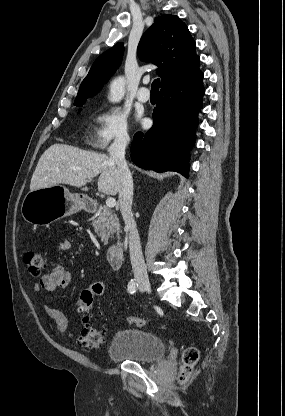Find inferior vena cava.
Instances as JSON below:
<instances>
[{"mask_svg":"<svg viewBox=\"0 0 285 416\" xmlns=\"http://www.w3.org/2000/svg\"><path fill=\"white\" fill-rule=\"evenodd\" d=\"M129 142L130 138L126 130L118 132L113 144L109 146L108 152L110 162L116 164L122 174V186L119 190L120 212L126 224L125 228L129 232V252L133 272L138 274V276H147L140 238L131 208L133 200V180L125 160V150Z\"/></svg>","mask_w":285,"mask_h":416,"instance_id":"inferior-vena-cava-1","label":"inferior vena cava"}]
</instances>
